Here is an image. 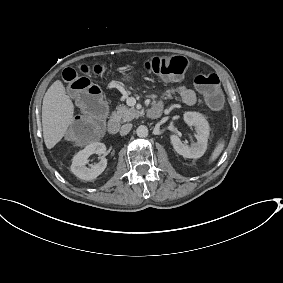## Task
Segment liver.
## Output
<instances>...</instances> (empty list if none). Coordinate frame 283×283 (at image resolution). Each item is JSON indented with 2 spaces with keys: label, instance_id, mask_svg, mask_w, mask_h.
Segmentation results:
<instances>
[{
  "label": "liver",
  "instance_id": "obj_1",
  "mask_svg": "<svg viewBox=\"0 0 283 283\" xmlns=\"http://www.w3.org/2000/svg\"><path fill=\"white\" fill-rule=\"evenodd\" d=\"M75 105L61 80L47 90L42 106L43 137L48 150L54 148L74 122Z\"/></svg>",
  "mask_w": 283,
  "mask_h": 283
}]
</instances>
